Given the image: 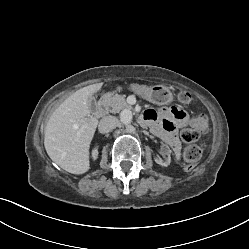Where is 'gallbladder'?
<instances>
[{"mask_svg": "<svg viewBox=\"0 0 249 249\" xmlns=\"http://www.w3.org/2000/svg\"><path fill=\"white\" fill-rule=\"evenodd\" d=\"M89 105H90V109H91V110H95V109H96L97 103H96L95 97H91V98H90V103H89Z\"/></svg>", "mask_w": 249, "mask_h": 249, "instance_id": "bac80fb5", "label": "gallbladder"}]
</instances>
